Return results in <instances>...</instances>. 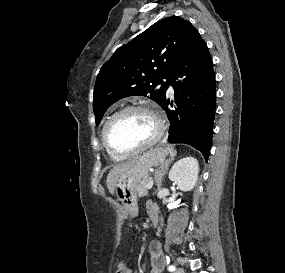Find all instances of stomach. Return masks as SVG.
I'll return each instance as SVG.
<instances>
[{
  "label": "stomach",
  "mask_w": 285,
  "mask_h": 273,
  "mask_svg": "<svg viewBox=\"0 0 285 273\" xmlns=\"http://www.w3.org/2000/svg\"><path fill=\"white\" fill-rule=\"evenodd\" d=\"M169 151L164 148H155L145 152L137 161L124 170L115 182V191L118 200L130 213L137 209V187L148 177L152 167L163 163Z\"/></svg>",
  "instance_id": "stomach-1"
}]
</instances>
